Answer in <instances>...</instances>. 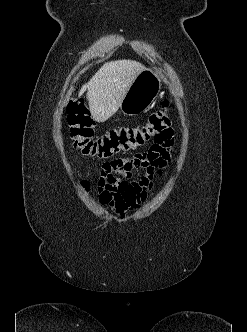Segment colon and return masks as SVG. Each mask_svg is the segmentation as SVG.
I'll use <instances>...</instances> for the list:
<instances>
[{
  "label": "colon",
  "instance_id": "1",
  "mask_svg": "<svg viewBox=\"0 0 247 332\" xmlns=\"http://www.w3.org/2000/svg\"><path fill=\"white\" fill-rule=\"evenodd\" d=\"M168 108L169 102L165 100L162 108L151 113L146 122L133 127L113 129L102 136H95L94 121L87 105L81 100L75 101L68 111L70 136L75 149L82 155L100 159L142 148L149 143H152L151 147L166 144L172 138Z\"/></svg>",
  "mask_w": 247,
  "mask_h": 332
}]
</instances>
